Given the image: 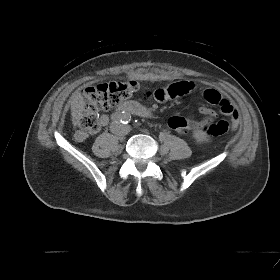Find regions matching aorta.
I'll use <instances>...</instances> for the list:
<instances>
[{"label": "aorta", "instance_id": "aorta-1", "mask_svg": "<svg viewBox=\"0 0 280 280\" xmlns=\"http://www.w3.org/2000/svg\"><path fill=\"white\" fill-rule=\"evenodd\" d=\"M129 116H130V114L124 112V113L121 114V120H122L123 122H124V121H128L129 118H130Z\"/></svg>", "mask_w": 280, "mask_h": 280}]
</instances>
